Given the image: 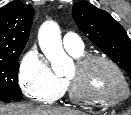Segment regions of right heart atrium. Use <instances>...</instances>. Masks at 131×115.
<instances>
[{"label": "right heart atrium", "instance_id": "1", "mask_svg": "<svg viewBox=\"0 0 131 115\" xmlns=\"http://www.w3.org/2000/svg\"><path fill=\"white\" fill-rule=\"evenodd\" d=\"M18 82L23 93L30 99L50 104L61 96L65 84L54 75L47 60L36 49L23 56Z\"/></svg>", "mask_w": 131, "mask_h": 115}]
</instances>
